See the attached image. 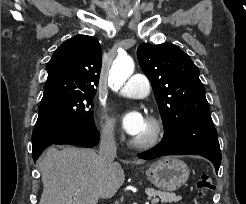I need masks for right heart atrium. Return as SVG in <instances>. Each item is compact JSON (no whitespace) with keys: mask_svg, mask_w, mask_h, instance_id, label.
I'll return each mask as SVG.
<instances>
[{"mask_svg":"<svg viewBox=\"0 0 246 204\" xmlns=\"http://www.w3.org/2000/svg\"><path fill=\"white\" fill-rule=\"evenodd\" d=\"M96 124L102 139L113 141L117 135V128L113 119L105 111H99L96 116Z\"/></svg>","mask_w":246,"mask_h":204,"instance_id":"d8ad5b80","label":"right heart atrium"}]
</instances>
